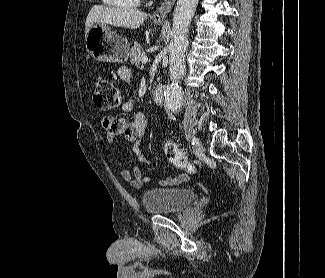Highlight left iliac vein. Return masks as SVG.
Returning <instances> with one entry per match:
<instances>
[{"label": "left iliac vein", "mask_w": 325, "mask_h": 278, "mask_svg": "<svg viewBox=\"0 0 325 278\" xmlns=\"http://www.w3.org/2000/svg\"><path fill=\"white\" fill-rule=\"evenodd\" d=\"M194 153L199 157H202L204 155L203 145L200 140L194 144Z\"/></svg>", "instance_id": "1"}]
</instances>
